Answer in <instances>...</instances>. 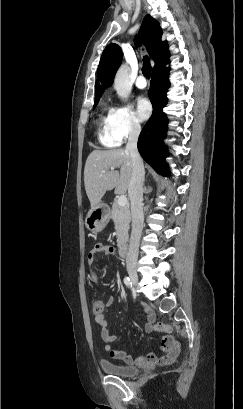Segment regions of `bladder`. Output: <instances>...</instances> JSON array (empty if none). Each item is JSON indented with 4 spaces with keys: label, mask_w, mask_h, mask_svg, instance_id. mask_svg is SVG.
<instances>
[{
    "label": "bladder",
    "mask_w": 243,
    "mask_h": 409,
    "mask_svg": "<svg viewBox=\"0 0 243 409\" xmlns=\"http://www.w3.org/2000/svg\"><path fill=\"white\" fill-rule=\"evenodd\" d=\"M99 367L106 374L116 377H134L140 373V368L136 365L125 366L109 361H101Z\"/></svg>",
    "instance_id": "31cf9c89"
}]
</instances>
